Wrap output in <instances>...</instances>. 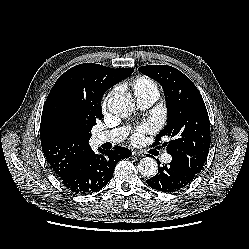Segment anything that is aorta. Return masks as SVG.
<instances>
[{
  "instance_id": "762f6f07",
  "label": "aorta",
  "mask_w": 249,
  "mask_h": 249,
  "mask_svg": "<svg viewBox=\"0 0 249 249\" xmlns=\"http://www.w3.org/2000/svg\"><path fill=\"white\" fill-rule=\"evenodd\" d=\"M109 111L122 118L129 117L135 110V101L131 95H115L108 100ZM139 173L145 177H153L158 172L155 159L145 157L138 163Z\"/></svg>"
}]
</instances>
